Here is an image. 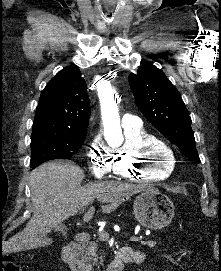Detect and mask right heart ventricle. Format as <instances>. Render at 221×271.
<instances>
[{"label": "right heart ventricle", "mask_w": 221, "mask_h": 271, "mask_svg": "<svg viewBox=\"0 0 221 271\" xmlns=\"http://www.w3.org/2000/svg\"><path fill=\"white\" fill-rule=\"evenodd\" d=\"M161 139L158 135L147 130L128 136L121 145V153L124 158H148L149 155H138V150H152V146L156 139ZM155 149H161L168 152L165 144H155ZM159 158H151L149 161L153 163L155 171H151L150 164H128L126 161H116V164H110L111 172L120 179H134V183H147V181H156V179H171L173 172L172 167H176L175 158H163L160 154ZM147 166V167H146ZM144 169V171H142Z\"/></svg>", "instance_id": "1"}]
</instances>
